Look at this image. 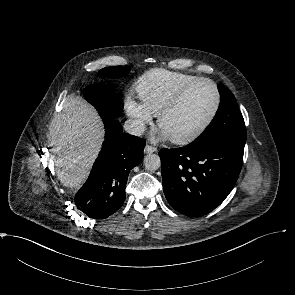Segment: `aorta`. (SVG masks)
I'll return each mask as SVG.
<instances>
[{
    "label": "aorta",
    "instance_id": "obj_1",
    "mask_svg": "<svg viewBox=\"0 0 295 295\" xmlns=\"http://www.w3.org/2000/svg\"><path fill=\"white\" fill-rule=\"evenodd\" d=\"M145 168L149 171H155L161 166L160 157L156 154H148L144 158Z\"/></svg>",
    "mask_w": 295,
    "mask_h": 295
}]
</instances>
